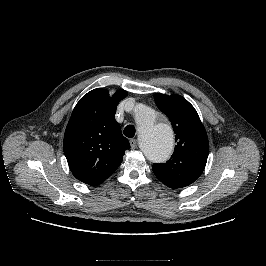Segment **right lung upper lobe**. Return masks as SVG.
<instances>
[{"label": "right lung upper lobe", "mask_w": 266, "mask_h": 266, "mask_svg": "<svg viewBox=\"0 0 266 266\" xmlns=\"http://www.w3.org/2000/svg\"><path fill=\"white\" fill-rule=\"evenodd\" d=\"M127 92L111 97L97 88L84 95L75 106L64 134L63 149L73 175L97 186L120 166L129 141L114 119L116 107Z\"/></svg>", "instance_id": "right-lung-upper-lobe-1"}]
</instances>
